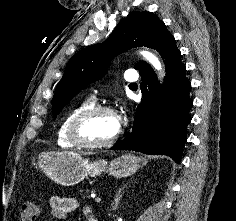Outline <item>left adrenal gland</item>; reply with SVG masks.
Segmentation results:
<instances>
[{"label":"left adrenal gland","instance_id":"obj_1","mask_svg":"<svg viewBox=\"0 0 236 221\" xmlns=\"http://www.w3.org/2000/svg\"><path fill=\"white\" fill-rule=\"evenodd\" d=\"M125 185L120 187L117 192H116V195H115V198H114V201L112 202L111 206H112V210H116L117 207H118V204H119V201L122 197V194L124 193V189H125Z\"/></svg>","mask_w":236,"mask_h":221}]
</instances>
